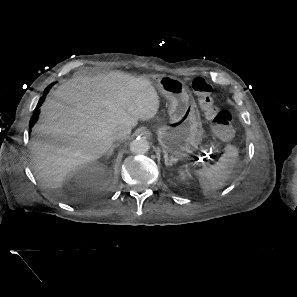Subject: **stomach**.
Segmentation results:
<instances>
[{"label": "stomach", "instance_id": "0dacf381", "mask_svg": "<svg viewBox=\"0 0 297 297\" xmlns=\"http://www.w3.org/2000/svg\"><path fill=\"white\" fill-rule=\"evenodd\" d=\"M159 92L169 102L170 124L159 127L157 139L164 152L184 159L198 150L203 127L199 111L188 87L179 79L162 76L156 80Z\"/></svg>", "mask_w": 297, "mask_h": 297}]
</instances>
